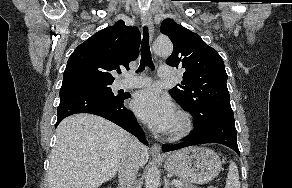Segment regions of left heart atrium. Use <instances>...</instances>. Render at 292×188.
<instances>
[{
    "label": "left heart atrium",
    "instance_id": "39dd6f15",
    "mask_svg": "<svg viewBox=\"0 0 292 188\" xmlns=\"http://www.w3.org/2000/svg\"><path fill=\"white\" fill-rule=\"evenodd\" d=\"M132 109L144 123L161 132L168 131L177 116L172 102L155 88L138 92Z\"/></svg>",
    "mask_w": 292,
    "mask_h": 188
}]
</instances>
